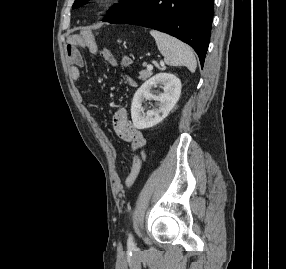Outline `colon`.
Segmentation results:
<instances>
[{
  "label": "colon",
  "mask_w": 286,
  "mask_h": 269,
  "mask_svg": "<svg viewBox=\"0 0 286 269\" xmlns=\"http://www.w3.org/2000/svg\"><path fill=\"white\" fill-rule=\"evenodd\" d=\"M134 62H137V57H131L130 54H127L126 57L120 62L121 66H133ZM123 88H134V83H123Z\"/></svg>",
  "instance_id": "5ec220e1"
}]
</instances>
